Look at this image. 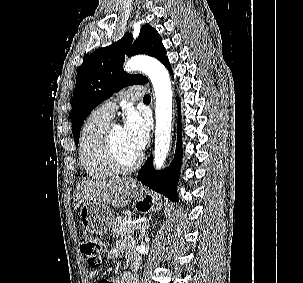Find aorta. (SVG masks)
<instances>
[{"instance_id": "obj_1", "label": "aorta", "mask_w": 303, "mask_h": 283, "mask_svg": "<svg viewBox=\"0 0 303 283\" xmlns=\"http://www.w3.org/2000/svg\"><path fill=\"white\" fill-rule=\"evenodd\" d=\"M125 69L129 72L141 71L152 82L156 98L154 166L160 169L167 158L171 142L173 93L169 73L162 63L148 56L132 57L126 62Z\"/></svg>"}]
</instances>
